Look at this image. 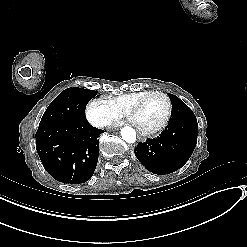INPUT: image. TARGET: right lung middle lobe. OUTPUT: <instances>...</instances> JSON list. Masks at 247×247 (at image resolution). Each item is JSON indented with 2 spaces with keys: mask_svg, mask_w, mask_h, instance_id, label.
<instances>
[{
  "mask_svg": "<svg viewBox=\"0 0 247 247\" xmlns=\"http://www.w3.org/2000/svg\"><path fill=\"white\" fill-rule=\"evenodd\" d=\"M97 91L79 87L62 91L46 109L39 126L54 122H83L87 103Z\"/></svg>",
  "mask_w": 247,
  "mask_h": 247,
  "instance_id": "obj_1",
  "label": "right lung middle lobe"
}]
</instances>
